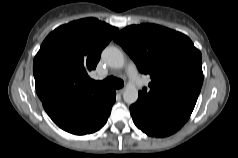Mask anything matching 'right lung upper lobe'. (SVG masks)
Masks as SVG:
<instances>
[{
  "mask_svg": "<svg viewBox=\"0 0 238 158\" xmlns=\"http://www.w3.org/2000/svg\"><path fill=\"white\" fill-rule=\"evenodd\" d=\"M117 32L118 28L95 18L73 21L52 31L33 61L39 98L108 92L95 86L88 73L96 68L102 50Z\"/></svg>",
  "mask_w": 238,
  "mask_h": 158,
  "instance_id": "right-lung-upper-lobe-1",
  "label": "right lung upper lobe"
}]
</instances>
